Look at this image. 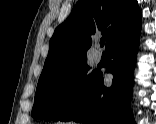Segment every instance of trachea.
<instances>
[{"label":"trachea","instance_id":"obj_1","mask_svg":"<svg viewBox=\"0 0 156 124\" xmlns=\"http://www.w3.org/2000/svg\"><path fill=\"white\" fill-rule=\"evenodd\" d=\"M104 44H105V40H104V39H101V40H100V46L103 47Z\"/></svg>","mask_w":156,"mask_h":124}]
</instances>
